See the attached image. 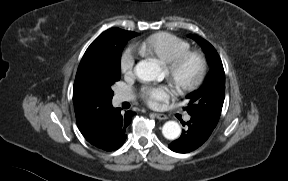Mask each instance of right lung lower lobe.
Here are the masks:
<instances>
[{
	"mask_svg": "<svg viewBox=\"0 0 288 181\" xmlns=\"http://www.w3.org/2000/svg\"><path fill=\"white\" fill-rule=\"evenodd\" d=\"M135 112L126 111L124 114L121 113L120 108H113L110 117V129L111 135L108 139L107 144L102 149L106 151L116 150L123 145L126 140L125 130L126 127L131 123L132 116Z\"/></svg>",
	"mask_w": 288,
	"mask_h": 181,
	"instance_id": "98d812e1",
	"label": "right lung lower lobe"
}]
</instances>
